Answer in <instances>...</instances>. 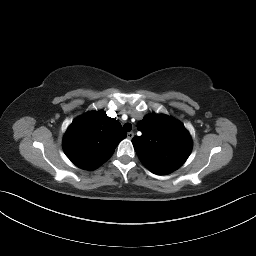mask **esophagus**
I'll return each mask as SVG.
<instances>
[{
  "label": "esophagus",
  "instance_id": "34e87169",
  "mask_svg": "<svg viewBox=\"0 0 256 256\" xmlns=\"http://www.w3.org/2000/svg\"><path fill=\"white\" fill-rule=\"evenodd\" d=\"M133 137H134V133H133V132H128V133H127V138H128V139L131 140Z\"/></svg>",
  "mask_w": 256,
  "mask_h": 256
}]
</instances>
